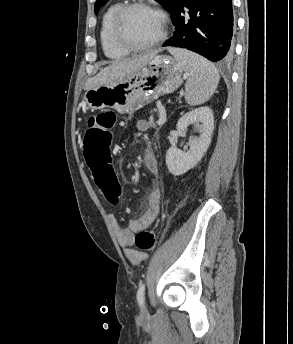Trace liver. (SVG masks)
I'll use <instances>...</instances> for the list:
<instances>
[{
	"instance_id": "liver-1",
	"label": "liver",
	"mask_w": 293,
	"mask_h": 344,
	"mask_svg": "<svg viewBox=\"0 0 293 344\" xmlns=\"http://www.w3.org/2000/svg\"><path fill=\"white\" fill-rule=\"evenodd\" d=\"M157 54L152 51L135 58L115 61L104 67L97 75L87 79L84 89L86 91L107 84H113L141 70Z\"/></svg>"
}]
</instances>
